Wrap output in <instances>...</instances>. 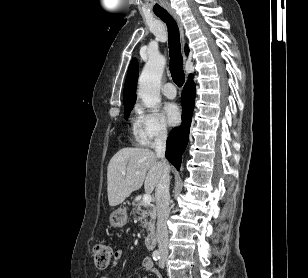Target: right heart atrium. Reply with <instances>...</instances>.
Masks as SVG:
<instances>
[{
  "label": "right heart atrium",
  "mask_w": 308,
  "mask_h": 278,
  "mask_svg": "<svg viewBox=\"0 0 308 278\" xmlns=\"http://www.w3.org/2000/svg\"><path fill=\"white\" fill-rule=\"evenodd\" d=\"M134 132L139 144L151 146L167 137L168 128L164 118L157 111L138 107Z\"/></svg>",
  "instance_id": "d8ad5b80"
}]
</instances>
